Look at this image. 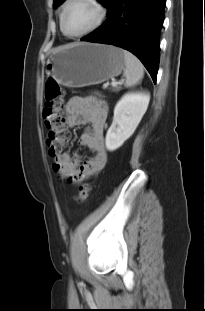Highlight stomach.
<instances>
[{"label": "stomach", "mask_w": 205, "mask_h": 311, "mask_svg": "<svg viewBox=\"0 0 205 311\" xmlns=\"http://www.w3.org/2000/svg\"><path fill=\"white\" fill-rule=\"evenodd\" d=\"M123 50L94 43H74L54 49L46 62V74L67 87L103 83L122 73Z\"/></svg>", "instance_id": "0dacf381"}]
</instances>
